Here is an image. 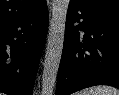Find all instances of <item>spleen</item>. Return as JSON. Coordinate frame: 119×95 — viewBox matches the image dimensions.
Returning <instances> with one entry per match:
<instances>
[{
	"label": "spleen",
	"mask_w": 119,
	"mask_h": 95,
	"mask_svg": "<svg viewBox=\"0 0 119 95\" xmlns=\"http://www.w3.org/2000/svg\"><path fill=\"white\" fill-rule=\"evenodd\" d=\"M78 95H119V90L111 86H94L79 92Z\"/></svg>",
	"instance_id": "obj_1"
}]
</instances>
